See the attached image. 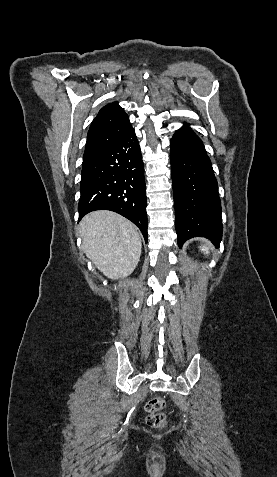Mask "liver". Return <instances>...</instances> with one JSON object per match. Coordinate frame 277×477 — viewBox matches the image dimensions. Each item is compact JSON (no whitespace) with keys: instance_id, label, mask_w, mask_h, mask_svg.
<instances>
[{"instance_id":"1","label":"liver","mask_w":277,"mask_h":477,"mask_svg":"<svg viewBox=\"0 0 277 477\" xmlns=\"http://www.w3.org/2000/svg\"><path fill=\"white\" fill-rule=\"evenodd\" d=\"M86 256L109 279L129 276L141 255L137 227L123 216L99 210L86 215L79 224Z\"/></svg>"}]
</instances>
